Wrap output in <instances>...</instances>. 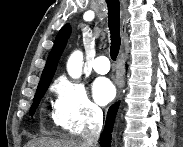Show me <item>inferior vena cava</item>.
<instances>
[{
  "instance_id": "602c4592",
  "label": "inferior vena cava",
  "mask_w": 183,
  "mask_h": 147,
  "mask_svg": "<svg viewBox=\"0 0 183 147\" xmlns=\"http://www.w3.org/2000/svg\"><path fill=\"white\" fill-rule=\"evenodd\" d=\"M103 125V113L100 109L95 110L89 127L84 131L83 143L86 147H96Z\"/></svg>"
}]
</instances>
